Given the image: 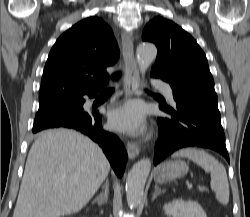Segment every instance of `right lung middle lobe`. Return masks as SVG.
I'll list each match as a JSON object with an SVG mask.
<instances>
[{"instance_id": "1", "label": "right lung middle lobe", "mask_w": 250, "mask_h": 217, "mask_svg": "<svg viewBox=\"0 0 250 217\" xmlns=\"http://www.w3.org/2000/svg\"><path fill=\"white\" fill-rule=\"evenodd\" d=\"M81 108L82 105L77 99L62 100L45 106H39L33 128L61 115H75Z\"/></svg>"}]
</instances>
